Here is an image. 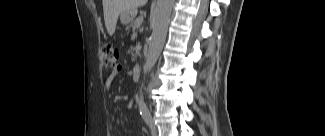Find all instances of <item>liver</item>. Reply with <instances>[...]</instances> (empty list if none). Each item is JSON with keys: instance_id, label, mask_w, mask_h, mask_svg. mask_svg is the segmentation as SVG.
I'll use <instances>...</instances> for the list:
<instances>
[{"instance_id": "liver-1", "label": "liver", "mask_w": 325, "mask_h": 136, "mask_svg": "<svg viewBox=\"0 0 325 136\" xmlns=\"http://www.w3.org/2000/svg\"><path fill=\"white\" fill-rule=\"evenodd\" d=\"M147 0H103L104 21L107 32L112 36L120 14L136 10L145 5Z\"/></svg>"}]
</instances>
